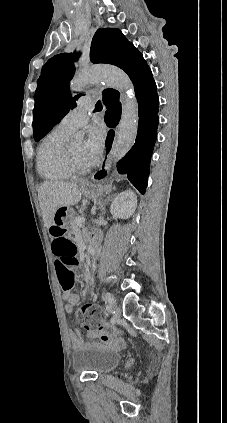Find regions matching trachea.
<instances>
[{
    "label": "trachea",
    "instance_id": "3493384b",
    "mask_svg": "<svg viewBox=\"0 0 227 423\" xmlns=\"http://www.w3.org/2000/svg\"><path fill=\"white\" fill-rule=\"evenodd\" d=\"M102 109H103L102 104H101L100 100H98V102L95 105V110L101 111Z\"/></svg>",
    "mask_w": 227,
    "mask_h": 423
}]
</instances>
